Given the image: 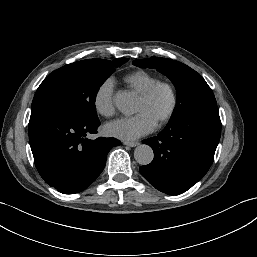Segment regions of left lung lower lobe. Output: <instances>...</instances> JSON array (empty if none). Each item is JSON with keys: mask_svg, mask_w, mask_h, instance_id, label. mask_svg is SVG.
<instances>
[{"mask_svg": "<svg viewBox=\"0 0 257 257\" xmlns=\"http://www.w3.org/2000/svg\"><path fill=\"white\" fill-rule=\"evenodd\" d=\"M221 133L217 105H210L168 123L153 138L143 140L154 151L153 161L139 168L156 189L181 194L209 170Z\"/></svg>", "mask_w": 257, "mask_h": 257, "instance_id": "0a47b994", "label": "left lung lower lobe"}]
</instances>
